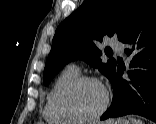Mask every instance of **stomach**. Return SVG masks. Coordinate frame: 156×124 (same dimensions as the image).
Wrapping results in <instances>:
<instances>
[{"label":"stomach","instance_id":"0dacf381","mask_svg":"<svg viewBox=\"0 0 156 124\" xmlns=\"http://www.w3.org/2000/svg\"><path fill=\"white\" fill-rule=\"evenodd\" d=\"M105 124H127V121L123 119L110 120V121H107Z\"/></svg>","mask_w":156,"mask_h":124}]
</instances>
